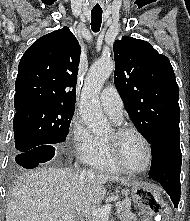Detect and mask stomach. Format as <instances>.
I'll return each mask as SVG.
<instances>
[{
	"label": "stomach",
	"instance_id": "0dacf381",
	"mask_svg": "<svg viewBox=\"0 0 190 221\" xmlns=\"http://www.w3.org/2000/svg\"><path fill=\"white\" fill-rule=\"evenodd\" d=\"M133 200H129L133 221H169L170 212L156 186L148 183H133L128 190ZM160 217V218H151Z\"/></svg>",
	"mask_w": 190,
	"mask_h": 221
}]
</instances>
